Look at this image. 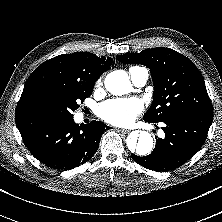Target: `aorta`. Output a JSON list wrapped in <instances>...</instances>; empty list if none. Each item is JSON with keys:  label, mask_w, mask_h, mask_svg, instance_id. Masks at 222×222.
I'll return each instance as SVG.
<instances>
[{"label": "aorta", "mask_w": 222, "mask_h": 222, "mask_svg": "<svg viewBox=\"0 0 222 222\" xmlns=\"http://www.w3.org/2000/svg\"><path fill=\"white\" fill-rule=\"evenodd\" d=\"M105 88L112 94L123 95L132 89L129 76L125 71L116 70L109 73L104 81ZM129 151L137 156H146L153 149V137L146 131H134L126 140Z\"/></svg>", "instance_id": "762f6f07"}]
</instances>
